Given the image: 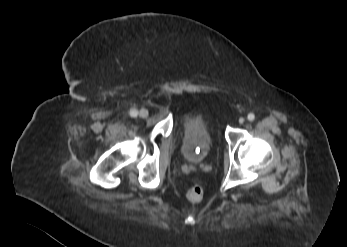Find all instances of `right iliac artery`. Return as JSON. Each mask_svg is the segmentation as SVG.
I'll list each match as a JSON object with an SVG mask.
<instances>
[{"label": "right iliac artery", "instance_id": "right-iliac-artery-1", "mask_svg": "<svg viewBox=\"0 0 347 247\" xmlns=\"http://www.w3.org/2000/svg\"><path fill=\"white\" fill-rule=\"evenodd\" d=\"M137 114H138L137 109H135V108L130 109V116L131 117H136Z\"/></svg>", "mask_w": 347, "mask_h": 247}]
</instances>
